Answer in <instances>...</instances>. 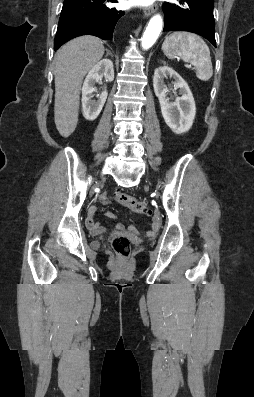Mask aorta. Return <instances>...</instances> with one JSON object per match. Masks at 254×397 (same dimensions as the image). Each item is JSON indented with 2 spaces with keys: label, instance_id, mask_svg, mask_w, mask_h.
<instances>
[{
  "label": "aorta",
  "instance_id": "aorta-1",
  "mask_svg": "<svg viewBox=\"0 0 254 397\" xmlns=\"http://www.w3.org/2000/svg\"><path fill=\"white\" fill-rule=\"evenodd\" d=\"M162 25L163 21L160 15L151 18L141 39L143 49H149L155 43L162 30Z\"/></svg>",
  "mask_w": 254,
  "mask_h": 397
}]
</instances>
